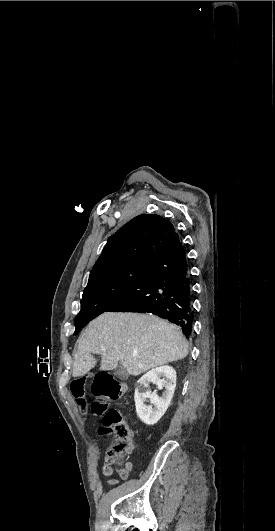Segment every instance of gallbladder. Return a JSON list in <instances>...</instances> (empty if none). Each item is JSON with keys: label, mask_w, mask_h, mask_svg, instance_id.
Instances as JSON below:
<instances>
[{"label": "gallbladder", "mask_w": 275, "mask_h": 531, "mask_svg": "<svg viewBox=\"0 0 275 531\" xmlns=\"http://www.w3.org/2000/svg\"><path fill=\"white\" fill-rule=\"evenodd\" d=\"M114 375L117 379H121V381H127L128 379V373L126 369L122 367L121 363H119L117 369H114Z\"/></svg>", "instance_id": "obj_1"}]
</instances>
